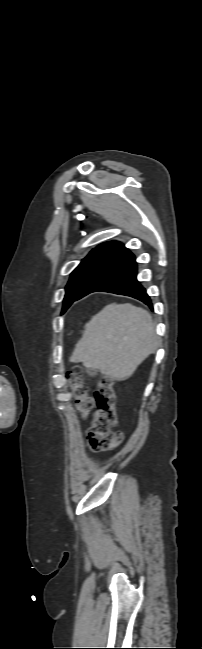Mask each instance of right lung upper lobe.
I'll return each instance as SVG.
<instances>
[{"label": "right lung upper lobe", "instance_id": "right-lung-upper-lobe-1", "mask_svg": "<svg viewBox=\"0 0 202 649\" xmlns=\"http://www.w3.org/2000/svg\"><path fill=\"white\" fill-rule=\"evenodd\" d=\"M129 250L120 242H106L94 248L90 254H109L120 256Z\"/></svg>", "mask_w": 202, "mask_h": 649}]
</instances>
